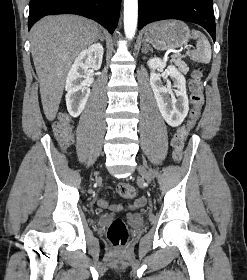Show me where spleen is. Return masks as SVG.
Instances as JSON below:
<instances>
[{"label": "spleen", "mask_w": 247, "mask_h": 280, "mask_svg": "<svg viewBox=\"0 0 247 280\" xmlns=\"http://www.w3.org/2000/svg\"><path fill=\"white\" fill-rule=\"evenodd\" d=\"M193 37L197 39L196 49L188 52L191 60L199 63L211 61V46L206 36L200 31L192 30Z\"/></svg>", "instance_id": "1"}]
</instances>
